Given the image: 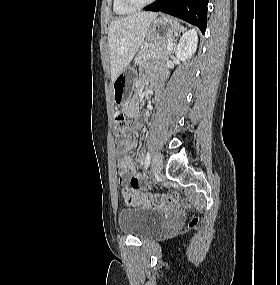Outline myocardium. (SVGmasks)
Returning a JSON list of instances; mask_svg holds the SVG:
<instances>
[{
    "mask_svg": "<svg viewBox=\"0 0 280 285\" xmlns=\"http://www.w3.org/2000/svg\"><path fill=\"white\" fill-rule=\"evenodd\" d=\"M121 1L126 7L135 10V9H140V8L146 7V6L154 3L156 0H146L143 2H137L135 0H121Z\"/></svg>",
    "mask_w": 280,
    "mask_h": 285,
    "instance_id": "myocardium-1",
    "label": "myocardium"
}]
</instances>
